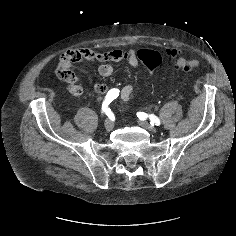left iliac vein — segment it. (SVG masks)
<instances>
[{"label": "left iliac vein", "instance_id": "obj_1", "mask_svg": "<svg viewBox=\"0 0 236 236\" xmlns=\"http://www.w3.org/2000/svg\"><path fill=\"white\" fill-rule=\"evenodd\" d=\"M138 124H139L142 128H144V129H146V130H149V131H151V132H156V131H157V129H156L155 126H153L152 124H150V123H148V122H146V121L140 120V121H138Z\"/></svg>", "mask_w": 236, "mask_h": 236}]
</instances>
